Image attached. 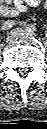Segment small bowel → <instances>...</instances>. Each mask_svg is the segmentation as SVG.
Segmentation results:
<instances>
[{
	"label": "small bowel",
	"mask_w": 47,
	"mask_h": 129,
	"mask_svg": "<svg viewBox=\"0 0 47 129\" xmlns=\"http://www.w3.org/2000/svg\"><path fill=\"white\" fill-rule=\"evenodd\" d=\"M41 5L45 6L42 0H0V14L5 17H15Z\"/></svg>",
	"instance_id": "c3829d8e"
}]
</instances>
